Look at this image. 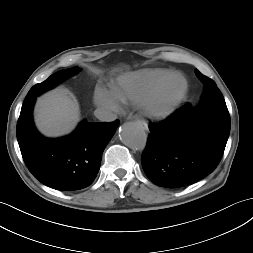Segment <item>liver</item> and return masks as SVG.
Instances as JSON below:
<instances>
[{
    "label": "liver",
    "mask_w": 253,
    "mask_h": 253,
    "mask_svg": "<svg viewBox=\"0 0 253 253\" xmlns=\"http://www.w3.org/2000/svg\"><path fill=\"white\" fill-rule=\"evenodd\" d=\"M79 120V104L67 89L57 88L38 98L35 123L45 136L58 137L68 134Z\"/></svg>",
    "instance_id": "1"
}]
</instances>
